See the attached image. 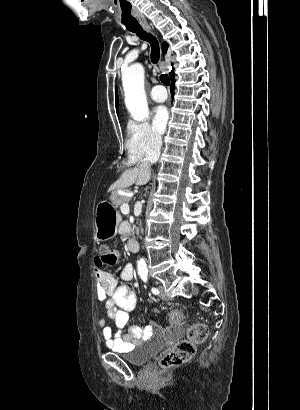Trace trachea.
Instances as JSON below:
<instances>
[{
	"instance_id": "3493384b",
	"label": "trachea",
	"mask_w": 300,
	"mask_h": 410,
	"mask_svg": "<svg viewBox=\"0 0 300 410\" xmlns=\"http://www.w3.org/2000/svg\"><path fill=\"white\" fill-rule=\"evenodd\" d=\"M131 32L135 33L140 39L149 42L151 45V61L156 64L159 61L160 48L157 39L151 34L141 29H132ZM160 80L164 85H170V79L167 74H162Z\"/></svg>"
}]
</instances>
